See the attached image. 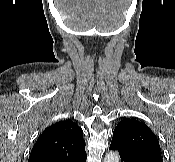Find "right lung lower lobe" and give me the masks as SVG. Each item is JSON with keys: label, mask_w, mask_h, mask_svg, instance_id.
Segmentation results:
<instances>
[{"label": "right lung lower lobe", "mask_w": 175, "mask_h": 162, "mask_svg": "<svg viewBox=\"0 0 175 162\" xmlns=\"http://www.w3.org/2000/svg\"><path fill=\"white\" fill-rule=\"evenodd\" d=\"M86 153L81 157L75 160H66V159H57V160H50L49 162H86Z\"/></svg>", "instance_id": "obj_1"}]
</instances>
